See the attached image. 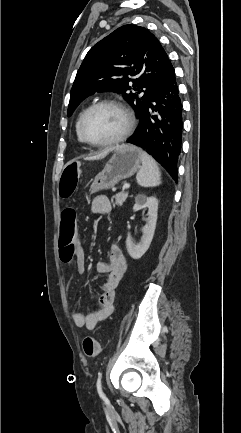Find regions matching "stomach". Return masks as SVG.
Listing matches in <instances>:
<instances>
[{
    "instance_id": "0dacf381",
    "label": "stomach",
    "mask_w": 241,
    "mask_h": 433,
    "mask_svg": "<svg viewBox=\"0 0 241 433\" xmlns=\"http://www.w3.org/2000/svg\"><path fill=\"white\" fill-rule=\"evenodd\" d=\"M142 151L133 145L117 149L104 169L95 176L90 192L113 188L119 181L133 176L140 168Z\"/></svg>"
}]
</instances>
